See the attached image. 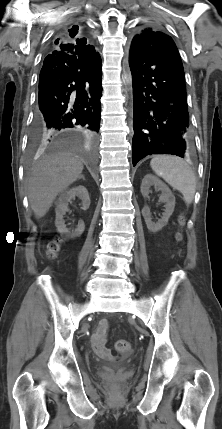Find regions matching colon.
<instances>
[{"mask_svg":"<svg viewBox=\"0 0 222 429\" xmlns=\"http://www.w3.org/2000/svg\"><path fill=\"white\" fill-rule=\"evenodd\" d=\"M184 222H185V218H184V216L181 215L179 218V223L181 225H183ZM178 238L180 239L181 236L178 235ZM59 243H60V239H54L48 243L47 254L49 257L53 258L56 256V254L59 250ZM115 348L119 352H129V351H131L132 346H131V343L129 341L121 339V340L116 341Z\"/></svg>","mask_w":222,"mask_h":429,"instance_id":"colon-1","label":"colon"}]
</instances>
